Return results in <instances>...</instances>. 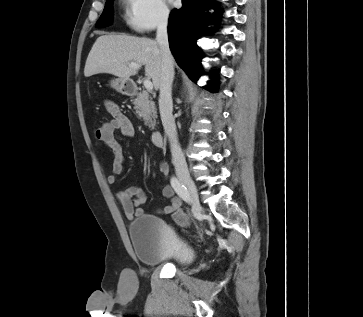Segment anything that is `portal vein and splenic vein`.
<instances>
[{"mask_svg":"<svg viewBox=\"0 0 363 317\" xmlns=\"http://www.w3.org/2000/svg\"><path fill=\"white\" fill-rule=\"evenodd\" d=\"M128 66L130 68H133V69H140L141 65L137 64V63H129ZM144 87L147 89V90H152L153 89V84L152 82L149 80V79H146L144 80Z\"/></svg>","mask_w":363,"mask_h":317,"instance_id":"obj_1","label":"portal vein and splenic vein"}]
</instances>
